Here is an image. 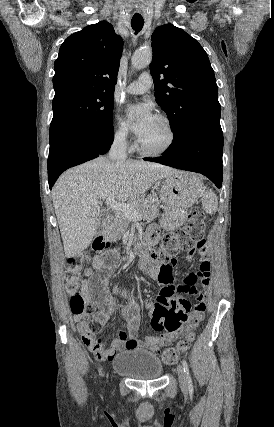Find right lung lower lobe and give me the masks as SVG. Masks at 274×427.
<instances>
[{"mask_svg": "<svg viewBox=\"0 0 274 427\" xmlns=\"http://www.w3.org/2000/svg\"><path fill=\"white\" fill-rule=\"evenodd\" d=\"M113 126L65 133L50 144L48 157L49 188L66 169L105 154L113 142Z\"/></svg>", "mask_w": 274, "mask_h": 427, "instance_id": "1", "label": "right lung lower lobe"}]
</instances>
